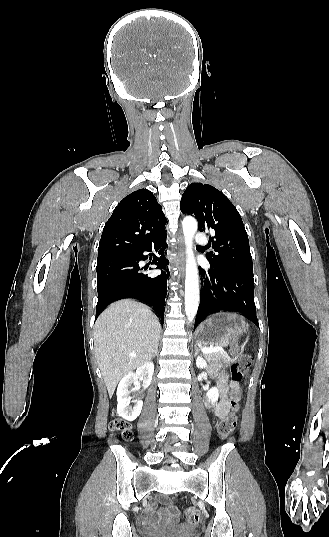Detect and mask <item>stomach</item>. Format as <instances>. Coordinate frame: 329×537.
<instances>
[{
	"label": "stomach",
	"mask_w": 329,
	"mask_h": 537,
	"mask_svg": "<svg viewBox=\"0 0 329 537\" xmlns=\"http://www.w3.org/2000/svg\"><path fill=\"white\" fill-rule=\"evenodd\" d=\"M248 330L245 319L236 313L219 312L211 315L196 330L200 345H227Z\"/></svg>",
	"instance_id": "1"
}]
</instances>
